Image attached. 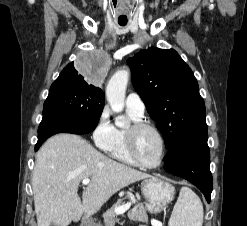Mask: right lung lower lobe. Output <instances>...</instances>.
I'll return each mask as SVG.
<instances>
[{
  "label": "right lung lower lobe",
  "instance_id": "98d812e1",
  "mask_svg": "<svg viewBox=\"0 0 247 226\" xmlns=\"http://www.w3.org/2000/svg\"><path fill=\"white\" fill-rule=\"evenodd\" d=\"M96 126L93 123H78L58 116L43 118L38 128L35 150L37 151L47 138L56 133L86 134L93 131Z\"/></svg>",
  "mask_w": 247,
  "mask_h": 226
}]
</instances>
